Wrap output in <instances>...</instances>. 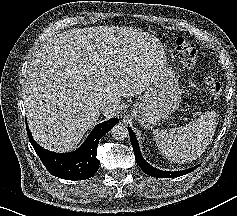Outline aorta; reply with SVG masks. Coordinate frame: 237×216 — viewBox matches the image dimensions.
Instances as JSON below:
<instances>
[{"mask_svg": "<svg viewBox=\"0 0 237 216\" xmlns=\"http://www.w3.org/2000/svg\"><path fill=\"white\" fill-rule=\"evenodd\" d=\"M128 129L126 125L118 123L111 129V135L115 140L122 141L128 137Z\"/></svg>", "mask_w": 237, "mask_h": 216, "instance_id": "762f6f07", "label": "aorta"}]
</instances>
